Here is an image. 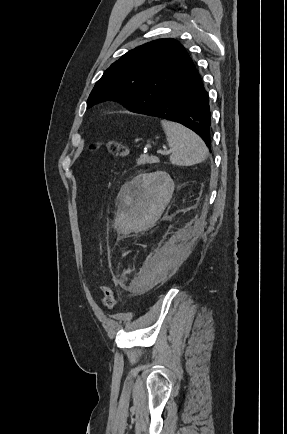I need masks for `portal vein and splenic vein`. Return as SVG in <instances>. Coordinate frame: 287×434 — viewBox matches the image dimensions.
I'll use <instances>...</instances> for the list:
<instances>
[{
  "label": "portal vein and splenic vein",
  "mask_w": 287,
  "mask_h": 434,
  "mask_svg": "<svg viewBox=\"0 0 287 434\" xmlns=\"http://www.w3.org/2000/svg\"><path fill=\"white\" fill-rule=\"evenodd\" d=\"M172 152V150H168V151H163V150H159L158 153L162 154V155H168Z\"/></svg>",
  "instance_id": "obj_1"
}]
</instances>
